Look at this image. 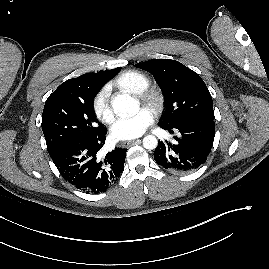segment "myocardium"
<instances>
[{"mask_svg":"<svg viewBox=\"0 0 269 269\" xmlns=\"http://www.w3.org/2000/svg\"><path fill=\"white\" fill-rule=\"evenodd\" d=\"M139 100L152 110L155 114L160 113L165 104V98L163 94L155 88H146L140 94H138Z\"/></svg>","mask_w":269,"mask_h":269,"instance_id":"obj_1","label":"myocardium"}]
</instances>
